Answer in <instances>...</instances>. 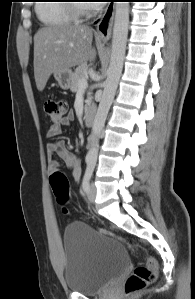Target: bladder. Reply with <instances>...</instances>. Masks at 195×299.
Masks as SVG:
<instances>
[{
	"instance_id": "obj_1",
	"label": "bladder",
	"mask_w": 195,
	"mask_h": 299,
	"mask_svg": "<svg viewBox=\"0 0 195 299\" xmlns=\"http://www.w3.org/2000/svg\"><path fill=\"white\" fill-rule=\"evenodd\" d=\"M64 279L70 291L92 295L118 277L129 265L122 243L84 223L64 230Z\"/></svg>"
}]
</instances>
